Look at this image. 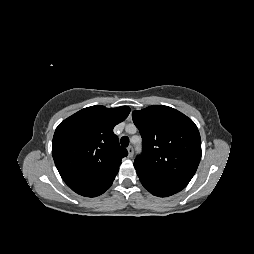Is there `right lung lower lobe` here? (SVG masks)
<instances>
[{"label":"right lung lower lobe","instance_id":"right-lung-lower-lobe-1","mask_svg":"<svg viewBox=\"0 0 254 254\" xmlns=\"http://www.w3.org/2000/svg\"><path fill=\"white\" fill-rule=\"evenodd\" d=\"M117 173L118 171L113 172L103 178L77 184V185L71 186L70 188L82 196L96 197L104 193L112 185L113 180L115 179V176L117 175Z\"/></svg>","mask_w":254,"mask_h":254}]
</instances>
